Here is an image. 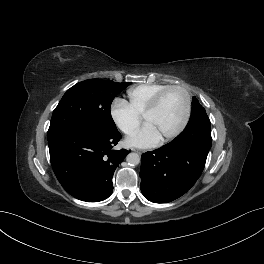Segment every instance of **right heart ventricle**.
Returning <instances> with one entry per match:
<instances>
[{"label":"right heart ventricle","instance_id":"1","mask_svg":"<svg viewBox=\"0 0 264 264\" xmlns=\"http://www.w3.org/2000/svg\"><path fill=\"white\" fill-rule=\"evenodd\" d=\"M168 86L160 83L134 86L127 91L128 103L136 113L142 115L155 95Z\"/></svg>","mask_w":264,"mask_h":264}]
</instances>
